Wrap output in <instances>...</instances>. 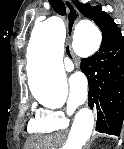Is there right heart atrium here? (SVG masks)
<instances>
[{"label": "right heart atrium", "instance_id": "right-heart-atrium-1", "mask_svg": "<svg viewBox=\"0 0 124 149\" xmlns=\"http://www.w3.org/2000/svg\"><path fill=\"white\" fill-rule=\"evenodd\" d=\"M38 115L49 118L54 125L58 127H65L67 124V117L63 111L60 110H42Z\"/></svg>", "mask_w": 124, "mask_h": 149}]
</instances>
